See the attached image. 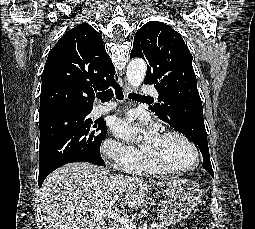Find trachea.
I'll list each match as a JSON object with an SVG mask.
<instances>
[{
    "mask_svg": "<svg viewBox=\"0 0 255 229\" xmlns=\"http://www.w3.org/2000/svg\"><path fill=\"white\" fill-rule=\"evenodd\" d=\"M113 90L109 89L107 91L104 92H98L97 93V97L101 100V101H109L113 98ZM128 97L130 99H138V98H149L148 96H142L136 93H129Z\"/></svg>",
    "mask_w": 255,
    "mask_h": 229,
    "instance_id": "3493384b",
    "label": "trachea"
}]
</instances>
